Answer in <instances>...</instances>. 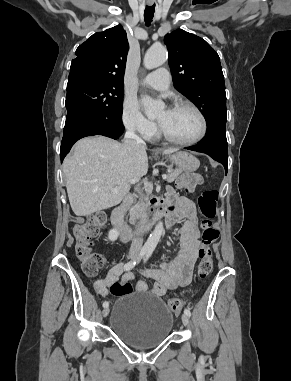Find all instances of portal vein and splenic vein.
<instances>
[{
    "label": "portal vein and splenic vein",
    "mask_w": 291,
    "mask_h": 381,
    "mask_svg": "<svg viewBox=\"0 0 291 381\" xmlns=\"http://www.w3.org/2000/svg\"><path fill=\"white\" fill-rule=\"evenodd\" d=\"M162 178L166 179L167 175H165V174L162 175ZM136 181H138V180L135 179V180L132 181V183H135ZM144 186L147 187V188H151V184L148 181H144ZM115 190H117V188H115Z\"/></svg>",
    "instance_id": "portal-vein-and-splenic-vein-1"
}]
</instances>
